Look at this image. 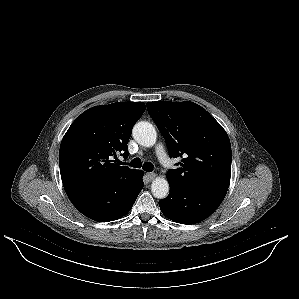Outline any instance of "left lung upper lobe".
<instances>
[{
    "label": "left lung upper lobe",
    "instance_id": "obj_1",
    "mask_svg": "<svg viewBox=\"0 0 299 299\" xmlns=\"http://www.w3.org/2000/svg\"><path fill=\"white\" fill-rule=\"evenodd\" d=\"M147 110L165 138L170 157H182L180 168L168 171L177 184H205L228 189L231 144L222 126L192 102H148Z\"/></svg>",
    "mask_w": 299,
    "mask_h": 299
}]
</instances>
